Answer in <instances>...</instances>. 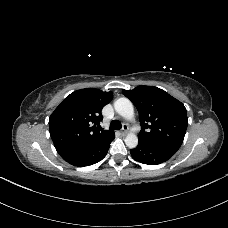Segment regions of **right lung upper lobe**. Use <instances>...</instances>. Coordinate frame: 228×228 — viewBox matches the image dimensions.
Here are the masks:
<instances>
[{
  "mask_svg": "<svg viewBox=\"0 0 228 228\" xmlns=\"http://www.w3.org/2000/svg\"><path fill=\"white\" fill-rule=\"evenodd\" d=\"M112 98L111 91L86 88L63 100L49 118L50 135L60 155L93 146L114 134L98 129L103 119L101 110Z\"/></svg>",
  "mask_w": 228,
  "mask_h": 228,
  "instance_id": "1",
  "label": "right lung upper lobe"
}]
</instances>
